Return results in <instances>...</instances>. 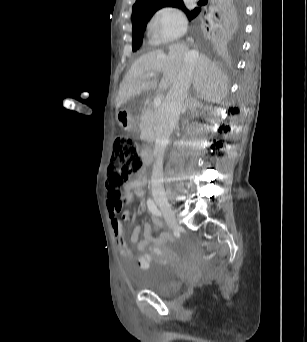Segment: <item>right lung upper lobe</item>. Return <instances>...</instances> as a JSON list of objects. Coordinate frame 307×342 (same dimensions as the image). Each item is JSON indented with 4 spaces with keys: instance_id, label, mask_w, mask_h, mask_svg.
I'll list each match as a JSON object with an SVG mask.
<instances>
[{
    "instance_id": "right-lung-upper-lobe-1",
    "label": "right lung upper lobe",
    "mask_w": 307,
    "mask_h": 342,
    "mask_svg": "<svg viewBox=\"0 0 307 342\" xmlns=\"http://www.w3.org/2000/svg\"><path fill=\"white\" fill-rule=\"evenodd\" d=\"M199 3L200 8L189 11L184 7L183 0H136L132 7V35L143 33L147 22L158 9L172 6L181 8L189 20L195 19L199 32L206 39L222 41L239 12V3L237 0H200Z\"/></svg>"
}]
</instances>
